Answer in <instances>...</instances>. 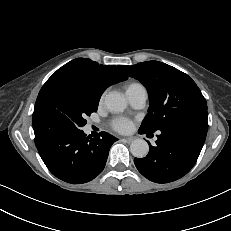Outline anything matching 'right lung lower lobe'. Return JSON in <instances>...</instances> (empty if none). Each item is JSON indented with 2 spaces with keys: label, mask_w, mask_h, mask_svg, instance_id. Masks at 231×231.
<instances>
[{
  "label": "right lung lower lobe",
  "mask_w": 231,
  "mask_h": 231,
  "mask_svg": "<svg viewBox=\"0 0 231 231\" xmlns=\"http://www.w3.org/2000/svg\"><path fill=\"white\" fill-rule=\"evenodd\" d=\"M118 139L100 132L95 138L78 132L55 137H37L35 144L38 152L57 178L71 183L81 184L91 181L105 167L112 144Z\"/></svg>",
  "instance_id": "right-lung-lower-lobe-1"
}]
</instances>
